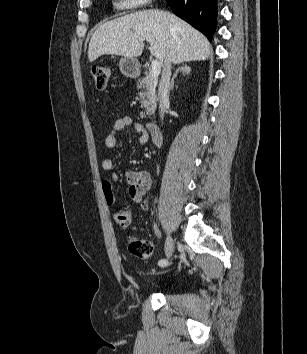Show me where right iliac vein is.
<instances>
[{"instance_id":"63e3f726","label":"right iliac vein","mask_w":307,"mask_h":354,"mask_svg":"<svg viewBox=\"0 0 307 354\" xmlns=\"http://www.w3.org/2000/svg\"><path fill=\"white\" fill-rule=\"evenodd\" d=\"M174 252V240L168 235L165 244V254L167 258H170Z\"/></svg>"}]
</instances>
